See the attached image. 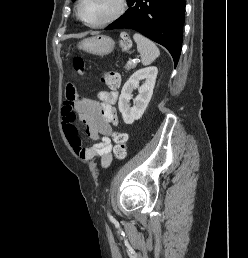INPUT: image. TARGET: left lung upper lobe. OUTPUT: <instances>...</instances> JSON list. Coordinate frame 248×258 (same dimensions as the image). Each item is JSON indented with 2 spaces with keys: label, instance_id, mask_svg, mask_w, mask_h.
<instances>
[{
  "label": "left lung upper lobe",
  "instance_id": "left-lung-upper-lobe-1",
  "mask_svg": "<svg viewBox=\"0 0 248 258\" xmlns=\"http://www.w3.org/2000/svg\"><path fill=\"white\" fill-rule=\"evenodd\" d=\"M72 1H75V0H72ZM129 2V0H127V3Z\"/></svg>",
  "mask_w": 248,
  "mask_h": 258
}]
</instances>
